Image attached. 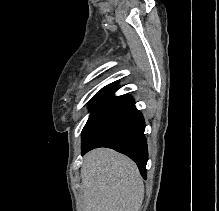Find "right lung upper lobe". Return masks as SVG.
<instances>
[{
	"mask_svg": "<svg viewBox=\"0 0 219 211\" xmlns=\"http://www.w3.org/2000/svg\"><path fill=\"white\" fill-rule=\"evenodd\" d=\"M117 86V82H113L107 86H105L104 88H102L99 92L105 91V92H110L111 90H113L115 87Z\"/></svg>",
	"mask_w": 219,
	"mask_h": 211,
	"instance_id": "1",
	"label": "right lung upper lobe"
}]
</instances>
